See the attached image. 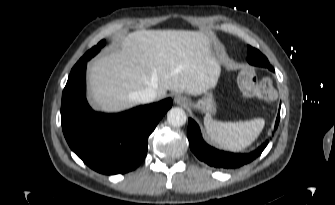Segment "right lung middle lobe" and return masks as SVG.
Segmentation results:
<instances>
[{
	"label": "right lung middle lobe",
	"mask_w": 335,
	"mask_h": 205,
	"mask_svg": "<svg viewBox=\"0 0 335 205\" xmlns=\"http://www.w3.org/2000/svg\"><path fill=\"white\" fill-rule=\"evenodd\" d=\"M105 45V40L100 41L96 46L91 48L89 51H87L83 57L80 58V60L76 63V65L73 67L76 68L81 62L83 61H88L92 57H94L100 50L101 48Z\"/></svg>",
	"instance_id": "dd1d6c3e"
}]
</instances>
